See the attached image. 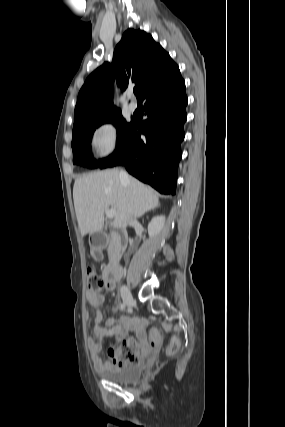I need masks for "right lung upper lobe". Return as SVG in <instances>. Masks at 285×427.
I'll return each mask as SVG.
<instances>
[{"label":"right lung upper lobe","instance_id":"right-lung-upper-lobe-1","mask_svg":"<svg viewBox=\"0 0 285 427\" xmlns=\"http://www.w3.org/2000/svg\"><path fill=\"white\" fill-rule=\"evenodd\" d=\"M177 65L152 36L141 30L128 29L114 50L112 64L105 62L86 79L74 113L73 130L120 111L113 105L114 75L125 90L129 83L144 90L172 71Z\"/></svg>","mask_w":285,"mask_h":427}]
</instances>
